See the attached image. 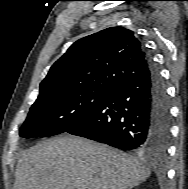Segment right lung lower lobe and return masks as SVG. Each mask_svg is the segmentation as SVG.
Returning <instances> with one entry per match:
<instances>
[{
  "label": "right lung lower lobe",
  "instance_id": "98d812e1",
  "mask_svg": "<svg viewBox=\"0 0 188 189\" xmlns=\"http://www.w3.org/2000/svg\"><path fill=\"white\" fill-rule=\"evenodd\" d=\"M148 73L111 91L80 123L66 131L122 150L165 153L170 140L168 95L147 55Z\"/></svg>",
  "mask_w": 188,
  "mask_h": 189
}]
</instances>
